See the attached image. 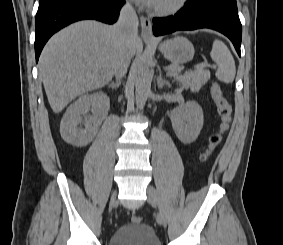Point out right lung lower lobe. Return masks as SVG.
<instances>
[{
    "mask_svg": "<svg viewBox=\"0 0 283 245\" xmlns=\"http://www.w3.org/2000/svg\"><path fill=\"white\" fill-rule=\"evenodd\" d=\"M124 3L125 0H40L35 20L36 62L55 32L82 19L112 24L117 21Z\"/></svg>",
    "mask_w": 283,
    "mask_h": 245,
    "instance_id": "obj_1",
    "label": "right lung lower lobe"
}]
</instances>
